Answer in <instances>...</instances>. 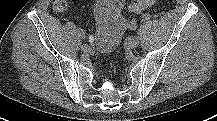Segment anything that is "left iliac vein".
<instances>
[{
	"instance_id": "left-iliac-vein-1",
	"label": "left iliac vein",
	"mask_w": 217,
	"mask_h": 121,
	"mask_svg": "<svg viewBox=\"0 0 217 121\" xmlns=\"http://www.w3.org/2000/svg\"><path fill=\"white\" fill-rule=\"evenodd\" d=\"M127 45L131 49L136 48L139 45V38L136 36L128 38Z\"/></svg>"
}]
</instances>
